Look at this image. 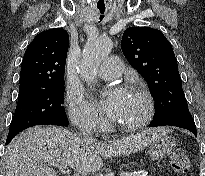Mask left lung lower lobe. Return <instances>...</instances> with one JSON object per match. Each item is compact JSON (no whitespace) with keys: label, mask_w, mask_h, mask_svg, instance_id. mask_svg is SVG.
Wrapping results in <instances>:
<instances>
[{"label":"left lung lower lobe","mask_w":205,"mask_h":176,"mask_svg":"<svg viewBox=\"0 0 205 176\" xmlns=\"http://www.w3.org/2000/svg\"><path fill=\"white\" fill-rule=\"evenodd\" d=\"M165 125L177 126L187 129L191 131L195 136H197L196 125L188 110L187 104L178 107L175 111L167 116H164L158 120H153L149 126L157 127Z\"/></svg>","instance_id":"1"}]
</instances>
